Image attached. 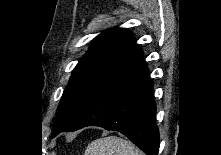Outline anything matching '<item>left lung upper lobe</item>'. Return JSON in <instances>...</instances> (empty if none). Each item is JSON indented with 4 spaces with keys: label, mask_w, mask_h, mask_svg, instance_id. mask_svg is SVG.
<instances>
[{
    "label": "left lung upper lobe",
    "mask_w": 221,
    "mask_h": 155,
    "mask_svg": "<svg viewBox=\"0 0 221 155\" xmlns=\"http://www.w3.org/2000/svg\"><path fill=\"white\" fill-rule=\"evenodd\" d=\"M140 51L132 33L126 30L111 29L97 36L73 70L57 108L52 135L70 125L98 86Z\"/></svg>",
    "instance_id": "1"
}]
</instances>
